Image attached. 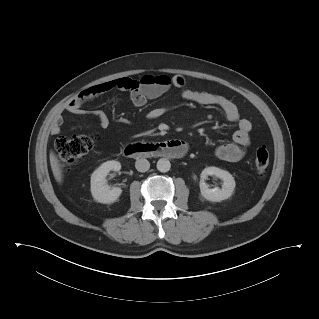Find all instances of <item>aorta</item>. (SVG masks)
I'll list each match as a JSON object with an SVG mask.
<instances>
[{
  "mask_svg": "<svg viewBox=\"0 0 319 319\" xmlns=\"http://www.w3.org/2000/svg\"><path fill=\"white\" fill-rule=\"evenodd\" d=\"M171 168V163L166 158H161L157 162V169L160 172H168Z\"/></svg>",
  "mask_w": 319,
  "mask_h": 319,
  "instance_id": "1",
  "label": "aorta"
}]
</instances>
